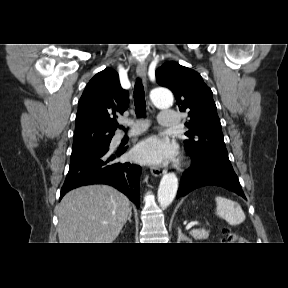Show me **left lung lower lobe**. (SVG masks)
Segmentation results:
<instances>
[{
  "mask_svg": "<svg viewBox=\"0 0 288 288\" xmlns=\"http://www.w3.org/2000/svg\"><path fill=\"white\" fill-rule=\"evenodd\" d=\"M191 157L192 165L182 175L177 198L203 186H219L246 199L232 166L213 159Z\"/></svg>",
  "mask_w": 288,
  "mask_h": 288,
  "instance_id": "obj_1",
  "label": "left lung lower lobe"
}]
</instances>
